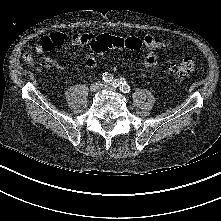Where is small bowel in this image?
I'll use <instances>...</instances> for the list:
<instances>
[{
	"instance_id": "obj_1",
	"label": "small bowel",
	"mask_w": 221,
	"mask_h": 221,
	"mask_svg": "<svg viewBox=\"0 0 221 221\" xmlns=\"http://www.w3.org/2000/svg\"><path fill=\"white\" fill-rule=\"evenodd\" d=\"M97 36L93 33L76 32L72 34L70 40L75 46L89 45ZM68 41V37L62 33H54L42 39L41 43L36 45L35 50L38 54L44 55L41 67L49 70L55 68L57 70H64L65 67L55 59L46 56L45 54L54 49L56 46L63 45ZM143 45L147 53L142 58V65L145 68H152L157 64V51L160 49L169 50L172 48L171 44L165 40H160L153 35H146L143 39ZM85 64L91 68L97 66V60L92 55L88 54L85 57Z\"/></svg>"
}]
</instances>
